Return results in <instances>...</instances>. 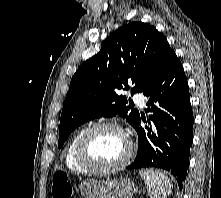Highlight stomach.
<instances>
[{"mask_svg":"<svg viewBox=\"0 0 221 198\" xmlns=\"http://www.w3.org/2000/svg\"><path fill=\"white\" fill-rule=\"evenodd\" d=\"M80 192L84 198H132L137 188L128 178L89 179L80 184Z\"/></svg>","mask_w":221,"mask_h":198,"instance_id":"1","label":"stomach"}]
</instances>
